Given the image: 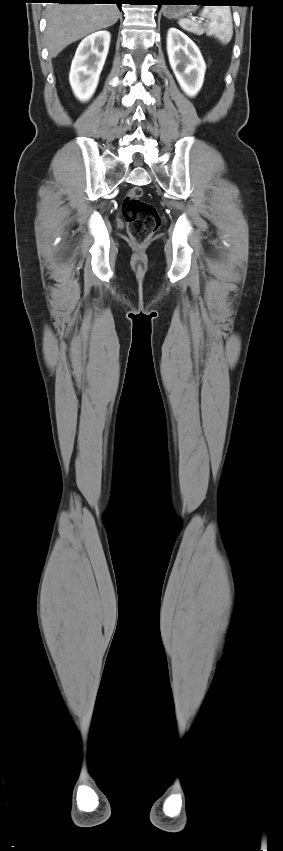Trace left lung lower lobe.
Wrapping results in <instances>:
<instances>
[{"instance_id":"left-lung-lower-lobe-1","label":"left lung lower lobe","mask_w":283,"mask_h":851,"mask_svg":"<svg viewBox=\"0 0 283 851\" xmlns=\"http://www.w3.org/2000/svg\"><path fill=\"white\" fill-rule=\"evenodd\" d=\"M184 0H154L155 4L161 7V5H165L167 3H186ZM194 3H199L202 5H211V4H220V5H229L232 0H193Z\"/></svg>"}]
</instances>
